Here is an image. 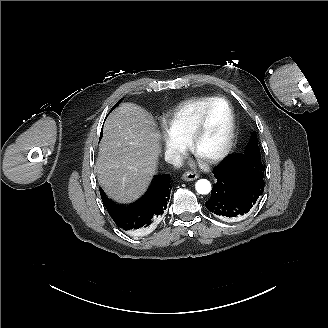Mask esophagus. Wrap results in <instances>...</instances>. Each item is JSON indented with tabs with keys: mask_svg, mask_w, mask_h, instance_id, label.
<instances>
[{
	"mask_svg": "<svg viewBox=\"0 0 328 328\" xmlns=\"http://www.w3.org/2000/svg\"><path fill=\"white\" fill-rule=\"evenodd\" d=\"M199 177V175L195 172H185L182 176L181 179L183 181H192L195 180Z\"/></svg>",
	"mask_w": 328,
	"mask_h": 328,
	"instance_id": "1",
	"label": "esophagus"
}]
</instances>
